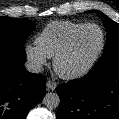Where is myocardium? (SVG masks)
<instances>
[{
  "instance_id": "1",
  "label": "myocardium",
  "mask_w": 119,
  "mask_h": 119,
  "mask_svg": "<svg viewBox=\"0 0 119 119\" xmlns=\"http://www.w3.org/2000/svg\"><path fill=\"white\" fill-rule=\"evenodd\" d=\"M89 28H97L100 33H101V44L100 47L95 54V56L82 68L72 71V72H64L60 69V62L61 60L68 54V52L71 50L75 40L77 37L84 32L85 30ZM106 46V34L101 26L95 23H89L85 24L78 30H76L67 40L65 45L59 50V52L54 56V61H53V66L55 72L62 78L68 79V80H73V79H78L83 76H85L98 62L100 57L102 56Z\"/></svg>"
}]
</instances>
